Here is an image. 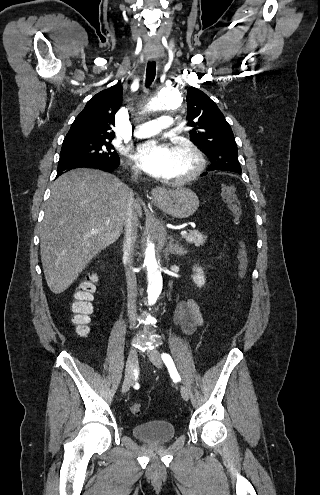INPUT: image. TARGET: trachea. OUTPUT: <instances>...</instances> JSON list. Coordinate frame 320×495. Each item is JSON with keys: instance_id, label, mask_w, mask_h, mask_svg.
Masks as SVG:
<instances>
[{"instance_id": "trachea-1", "label": "trachea", "mask_w": 320, "mask_h": 495, "mask_svg": "<svg viewBox=\"0 0 320 495\" xmlns=\"http://www.w3.org/2000/svg\"><path fill=\"white\" fill-rule=\"evenodd\" d=\"M156 74V64L154 62H150L147 64L146 69V87H148L154 80Z\"/></svg>"}]
</instances>
